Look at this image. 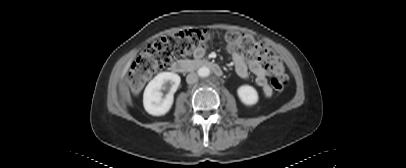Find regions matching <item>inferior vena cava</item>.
<instances>
[{
    "instance_id": "obj_1",
    "label": "inferior vena cava",
    "mask_w": 406,
    "mask_h": 168,
    "mask_svg": "<svg viewBox=\"0 0 406 168\" xmlns=\"http://www.w3.org/2000/svg\"><path fill=\"white\" fill-rule=\"evenodd\" d=\"M197 80H198V76L196 73H193V72L189 73L186 77V82L188 84H194Z\"/></svg>"
}]
</instances>
